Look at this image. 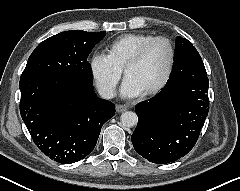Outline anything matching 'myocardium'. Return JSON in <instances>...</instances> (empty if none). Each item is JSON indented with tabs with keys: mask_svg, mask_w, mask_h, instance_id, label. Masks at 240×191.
<instances>
[{
	"mask_svg": "<svg viewBox=\"0 0 240 191\" xmlns=\"http://www.w3.org/2000/svg\"><path fill=\"white\" fill-rule=\"evenodd\" d=\"M158 41H163L168 45L169 52H170L168 66H167V69H166L163 79L156 86H154L153 88L142 93V96H144V97L152 96V95L159 93L167 85V83L169 82V80L171 78L174 64H175V57H176L175 47H174L172 40L166 36H155V37L151 38L150 40L145 42L136 51V53L130 58V60L126 63V65L123 68V74L126 77L127 72L132 67L138 65L142 61V59L144 58V56H145L146 52L148 51V49L150 48V46Z\"/></svg>",
	"mask_w": 240,
	"mask_h": 191,
	"instance_id": "myocardium-1",
	"label": "myocardium"
}]
</instances>
